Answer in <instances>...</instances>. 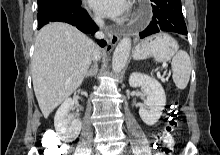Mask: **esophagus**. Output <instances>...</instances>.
Here are the masks:
<instances>
[{
  "instance_id": "1",
  "label": "esophagus",
  "mask_w": 220,
  "mask_h": 155,
  "mask_svg": "<svg viewBox=\"0 0 220 155\" xmlns=\"http://www.w3.org/2000/svg\"><path fill=\"white\" fill-rule=\"evenodd\" d=\"M109 41H110V44L112 46H115L118 42H119V39H120V36L115 33V32H109Z\"/></svg>"
}]
</instances>
